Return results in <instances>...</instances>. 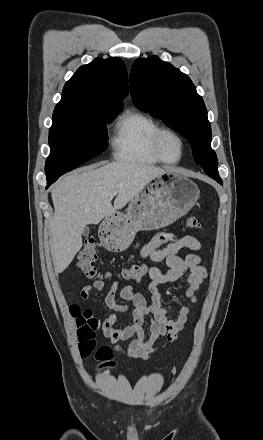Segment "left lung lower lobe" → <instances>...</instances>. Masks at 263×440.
<instances>
[{
  "label": "left lung lower lobe",
  "instance_id": "obj_1",
  "mask_svg": "<svg viewBox=\"0 0 263 440\" xmlns=\"http://www.w3.org/2000/svg\"><path fill=\"white\" fill-rule=\"evenodd\" d=\"M214 180H216L218 183L222 184V180L220 177H212Z\"/></svg>",
  "mask_w": 263,
  "mask_h": 440
}]
</instances>
